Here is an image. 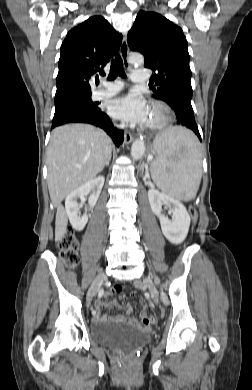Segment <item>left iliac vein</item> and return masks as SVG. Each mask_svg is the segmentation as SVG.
Wrapping results in <instances>:
<instances>
[{
  "instance_id": "obj_1",
  "label": "left iliac vein",
  "mask_w": 252,
  "mask_h": 390,
  "mask_svg": "<svg viewBox=\"0 0 252 390\" xmlns=\"http://www.w3.org/2000/svg\"><path fill=\"white\" fill-rule=\"evenodd\" d=\"M145 282L148 286L149 291L151 292L152 298L154 299L155 302H157L158 296H157L156 288H155L152 280L150 278H146Z\"/></svg>"
}]
</instances>
